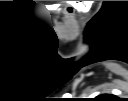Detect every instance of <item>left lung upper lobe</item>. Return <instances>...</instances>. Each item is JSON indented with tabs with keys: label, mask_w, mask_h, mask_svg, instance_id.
Masks as SVG:
<instances>
[{
	"label": "left lung upper lobe",
	"mask_w": 128,
	"mask_h": 101,
	"mask_svg": "<svg viewBox=\"0 0 128 101\" xmlns=\"http://www.w3.org/2000/svg\"><path fill=\"white\" fill-rule=\"evenodd\" d=\"M105 96H109V95H103V96H101V98L100 99H102L103 97H105Z\"/></svg>",
	"instance_id": "obj_1"
}]
</instances>
